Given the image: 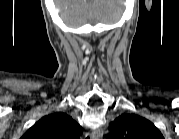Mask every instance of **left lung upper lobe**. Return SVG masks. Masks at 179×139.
Returning a JSON list of instances; mask_svg holds the SVG:
<instances>
[{
  "label": "left lung upper lobe",
  "mask_w": 179,
  "mask_h": 139,
  "mask_svg": "<svg viewBox=\"0 0 179 139\" xmlns=\"http://www.w3.org/2000/svg\"><path fill=\"white\" fill-rule=\"evenodd\" d=\"M110 139H163L149 120L135 114H122L110 123Z\"/></svg>",
  "instance_id": "left-lung-upper-lobe-1"
}]
</instances>
